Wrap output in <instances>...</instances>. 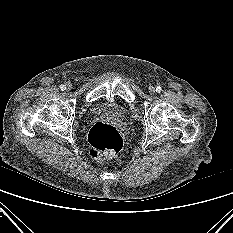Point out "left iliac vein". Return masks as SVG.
Instances as JSON below:
<instances>
[{
  "mask_svg": "<svg viewBox=\"0 0 233 233\" xmlns=\"http://www.w3.org/2000/svg\"><path fill=\"white\" fill-rule=\"evenodd\" d=\"M149 93L154 94L155 93V88L154 87H149Z\"/></svg>",
  "mask_w": 233,
  "mask_h": 233,
  "instance_id": "1",
  "label": "left iliac vein"
}]
</instances>
